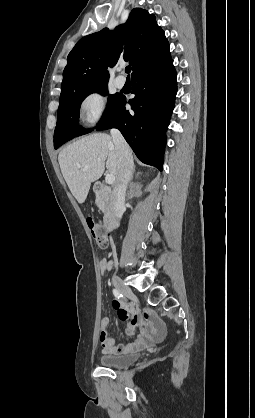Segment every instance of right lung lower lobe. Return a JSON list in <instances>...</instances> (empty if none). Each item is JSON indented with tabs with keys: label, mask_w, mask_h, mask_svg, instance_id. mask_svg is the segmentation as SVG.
<instances>
[{
	"label": "right lung lower lobe",
	"mask_w": 255,
	"mask_h": 418,
	"mask_svg": "<svg viewBox=\"0 0 255 418\" xmlns=\"http://www.w3.org/2000/svg\"><path fill=\"white\" fill-rule=\"evenodd\" d=\"M133 99L119 95L109 117L97 130L118 128L136 156L162 171L170 122L177 93L176 71L171 56L132 77ZM129 103L132 111L126 110Z\"/></svg>",
	"instance_id": "1"
}]
</instances>
